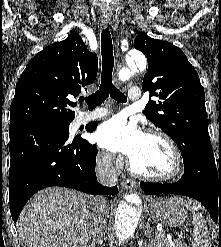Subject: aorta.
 I'll return each instance as SVG.
<instances>
[{"label": "aorta", "instance_id": "762f6f07", "mask_svg": "<svg viewBox=\"0 0 221 247\" xmlns=\"http://www.w3.org/2000/svg\"><path fill=\"white\" fill-rule=\"evenodd\" d=\"M126 65L128 72L135 68L143 71L147 62L140 52L131 51L126 58ZM139 218V208L130 206L125 201L120 202L115 215V235L119 241L127 240L135 232Z\"/></svg>", "mask_w": 221, "mask_h": 247}]
</instances>
